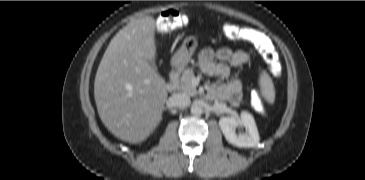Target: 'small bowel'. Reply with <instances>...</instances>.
I'll use <instances>...</instances> for the list:
<instances>
[{
  "mask_svg": "<svg viewBox=\"0 0 365 180\" xmlns=\"http://www.w3.org/2000/svg\"><path fill=\"white\" fill-rule=\"evenodd\" d=\"M218 59V62L215 61ZM251 56L240 50L222 48L216 53L209 48L202 49L198 53V65L203 73L216 78L225 80L230 77L231 67H238L247 64ZM242 94V85L237 78H231L226 83H215L213 95L219 98L237 101Z\"/></svg>",
  "mask_w": 365,
  "mask_h": 180,
  "instance_id": "c3829d8e",
  "label": "small bowel"
}]
</instances>
